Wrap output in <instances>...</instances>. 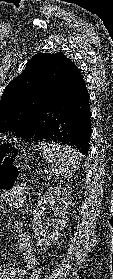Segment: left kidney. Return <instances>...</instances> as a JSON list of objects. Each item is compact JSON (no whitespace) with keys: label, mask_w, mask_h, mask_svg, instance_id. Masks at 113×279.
Returning <instances> with one entry per match:
<instances>
[{"label":"left kidney","mask_w":113,"mask_h":279,"mask_svg":"<svg viewBox=\"0 0 113 279\" xmlns=\"http://www.w3.org/2000/svg\"><path fill=\"white\" fill-rule=\"evenodd\" d=\"M71 193L72 190L70 187H49L38 202L39 208L33 212L32 227L35 234L36 245L42 250H45L51 246L57 240L60 232L66 226L71 204ZM56 199L60 201L58 205H56ZM49 206H51L54 210L56 220L52 225V232L46 235L42 229V217L44 211Z\"/></svg>","instance_id":"obj_1"}]
</instances>
